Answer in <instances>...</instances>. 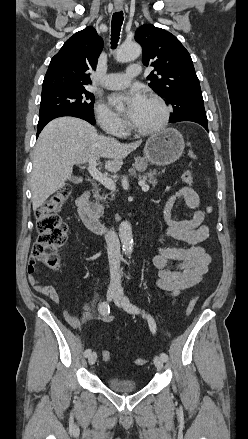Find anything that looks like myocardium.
Instances as JSON below:
<instances>
[{"label": "myocardium", "instance_id": "f54148a6", "mask_svg": "<svg viewBox=\"0 0 248 439\" xmlns=\"http://www.w3.org/2000/svg\"><path fill=\"white\" fill-rule=\"evenodd\" d=\"M148 100L155 102L160 106L162 109L163 115L158 124H156L153 127L150 128H140L136 126L132 121L130 122V128L131 130L142 136L151 135L154 133H157L159 131H162L169 123L170 117H171V108L168 106V104L158 95L151 94L147 97Z\"/></svg>", "mask_w": 248, "mask_h": 439}]
</instances>
